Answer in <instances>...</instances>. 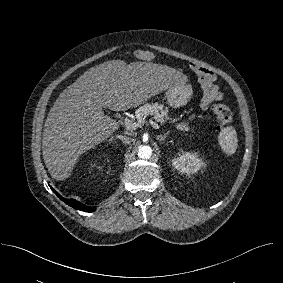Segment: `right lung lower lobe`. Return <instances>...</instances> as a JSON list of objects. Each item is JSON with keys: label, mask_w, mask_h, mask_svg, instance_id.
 Here are the masks:
<instances>
[{"label": "right lung lower lobe", "mask_w": 283, "mask_h": 283, "mask_svg": "<svg viewBox=\"0 0 283 283\" xmlns=\"http://www.w3.org/2000/svg\"><path fill=\"white\" fill-rule=\"evenodd\" d=\"M51 189L63 202H65L69 206L73 207L74 209L83 210L85 212H93L96 209V207L85 206L84 204L78 202L75 199H66V198L62 197L58 192H56L52 187H51Z\"/></svg>", "instance_id": "1"}]
</instances>
